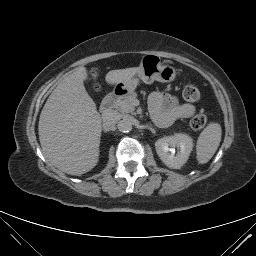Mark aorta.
<instances>
[{
  "mask_svg": "<svg viewBox=\"0 0 256 256\" xmlns=\"http://www.w3.org/2000/svg\"><path fill=\"white\" fill-rule=\"evenodd\" d=\"M132 122L130 120H122L118 124V129L121 132L128 133L132 130Z\"/></svg>",
  "mask_w": 256,
  "mask_h": 256,
  "instance_id": "aorta-1",
  "label": "aorta"
}]
</instances>
